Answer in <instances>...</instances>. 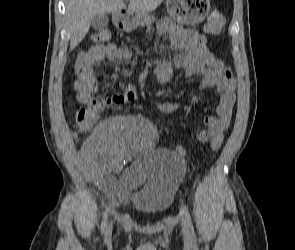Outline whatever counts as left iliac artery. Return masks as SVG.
Segmentation results:
<instances>
[{
    "instance_id": "left-iliac-artery-1",
    "label": "left iliac artery",
    "mask_w": 295,
    "mask_h": 250,
    "mask_svg": "<svg viewBox=\"0 0 295 250\" xmlns=\"http://www.w3.org/2000/svg\"><path fill=\"white\" fill-rule=\"evenodd\" d=\"M182 212H183V214L185 216V220H186L187 225L189 227L190 236H191L192 239H195L196 236H195V233H194L193 224H192V220H191V216L189 214V211L185 206H183Z\"/></svg>"
}]
</instances>
